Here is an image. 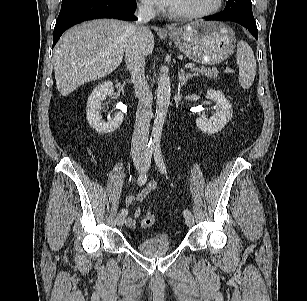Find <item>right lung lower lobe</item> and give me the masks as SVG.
Wrapping results in <instances>:
<instances>
[{
    "mask_svg": "<svg viewBox=\"0 0 307 301\" xmlns=\"http://www.w3.org/2000/svg\"><path fill=\"white\" fill-rule=\"evenodd\" d=\"M135 0H73L62 3L54 28L53 46L62 33L71 26L96 18L136 20Z\"/></svg>",
    "mask_w": 307,
    "mask_h": 301,
    "instance_id": "obj_1",
    "label": "right lung lower lobe"
}]
</instances>
